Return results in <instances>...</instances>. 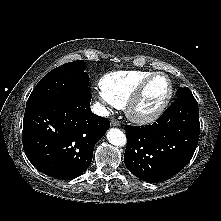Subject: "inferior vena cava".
Here are the masks:
<instances>
[{
    "mask_svg": "<svg viewBox=\"0 0 221 221\" xmlns=\"http://www.w3.org/2000/svg\"><path fill=\"white\" fill-rule=\"evenodd\" d=\"M91 108H92V112L95 113L96 115L103 116V117L109 116V111L99 103L93 104Z\"/></svg>",
    "mask_w": 221,
    "mask_h": 221,
    "instance_id": "obj_1",
    "label": "inferior vena cava"
}]
</instances>
